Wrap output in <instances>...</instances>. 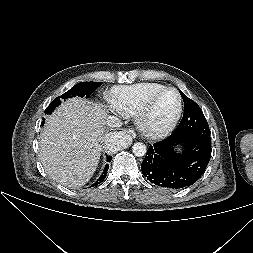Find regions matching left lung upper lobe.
Segmentation results:
<instances>
[{
  "instance_id": "obj_1",
  "label": "left lung upper lobe",
  "mask_w": 253,
  "mask_h": 253,
  "mask_svg": "<svg viewBox=\"0 0 253 253\" xmlns=\"http://www.w3.org/2000/svg\"><path fill=\"white\" fill-rule=\"evenodd\" d=\"M180 93L184 101V115L173 134L176 137H194L211 143L209 125L201 108L183 92Z\"/></svg>"
}]
</instances>
